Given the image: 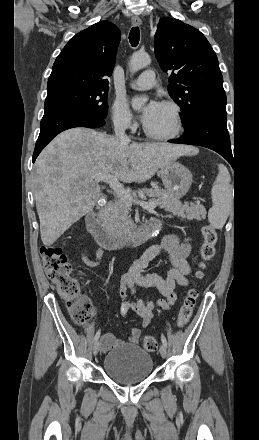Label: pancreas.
<instances>
[{
	"label": "pancreas",
	"instance_id": "pancreas-1",
	"mask_svg": "<svg viewBox=\"0 0 259 440\" xmlns=\"http://www.w3.org/2000/svg\"><path fill=\"white\" fill-rule=\"evenodd\" d=\"M141 192L149 196L151 198L150 201H156L160 209H165L167 212L181 217L182 219L200 220L206 215V210L204 206L200 205L199 202H186L182 204L174 195L170 194L164 189L144 188L141 190ZM130 195L136 198L137 192H133ZM129 206V204L120 199L116 201L108 211L106 217V228L112 235L120 236L127 234L130 225H132V219L129 213Z\"/></svg>",
	"mask_w": 259,
	"mask_h": 440
}]
</instances>
